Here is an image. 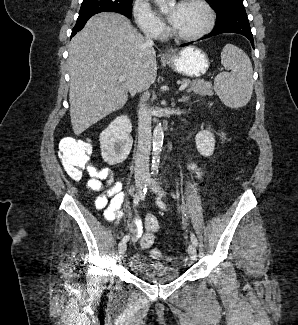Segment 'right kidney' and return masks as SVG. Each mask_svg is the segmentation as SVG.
<instances>
[{
	"instance_id": "ca27d5eb",
	"label": "right kidney",
	"mask_w": 298,
	"mask_h": 325,
	"mask_svg": "<svg viewBox=\"0 0 298 325\" xmlns=\"http://www.w3.org/2000/svg\"><path fill=\"white\" fill-rule=\"evenodd\" d=\"M132 124L127 114L116 116L100 132L101 156L107 165H118L127 158L133 144Z\"/></svg>"
}]
</instances>
